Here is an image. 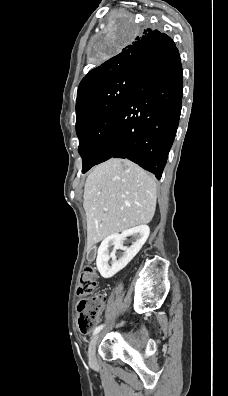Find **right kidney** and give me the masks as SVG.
Segmentation results:
<instances>
[{
    "instance_id": "ca27d5eb",
    "label": "right kidney",
    "mask_w": 228,
    "mask_h": 396,
    "mask_svg": "<svg viewBox=\"0 0 228 396\" xmlns=\"http://www.w3.org/2000/svg\"><path fill=\"white\" fill-rule=\"evenodd\" d=\"M150 229L147 225H139L123 231L121 234H112L107 236L98 248L96 265L100 275L103 278H111L117 272L126 267V265L137 255L142 246L145 244ZM132 236L135 242L130 246H123V241ZM114 246L113 251L109 254L108 248ZM123 250V255L117 259L116 250ZM112 259L111 266L108 261Z\"/></svg>"
}]
</instances>
